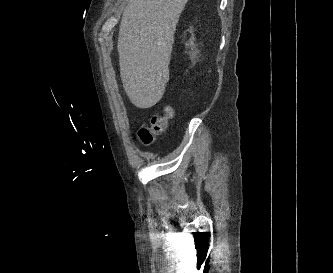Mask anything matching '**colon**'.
I'll return each mask as SVG.
<instances>
[{
	"label": "colon",
	"instance_id": "5ec220e1",
	"mask_svg": "<svg viewBox=\"0 0 333 273\" xmlns=\"http://www.w3.org/2000/svg\"><path fill=\"white\" fill-rule=\"evenodd\" d=\"M172 117V108L169 106L164 107L160 114L154 115L148 124L143 125L138 130L139 140L145 145L151 144L158 135L166 131Z\"/></svg>",
	"mask_w": 333,
	"mask_h": 273
}]
</instances>
